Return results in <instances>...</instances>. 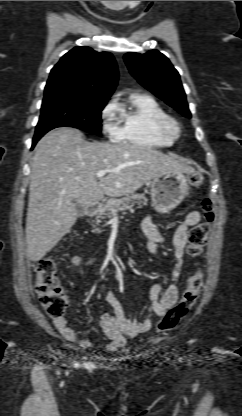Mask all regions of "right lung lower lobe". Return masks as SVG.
Segmentation results:
<instances>
[{
	"label": "right lung lower lobe",
	"instance_id": "98d812e1",
	"mask_svg": "<svg viewBox=\"0 0 242 416\" xmlns=\"http://www.w3.org/2000/svg\"><path fill=\"white\" fill-rule=\"evenodd\" d=\"M42 136H34L33 138V143H32V148L35 146V144L37 143V141L41 138Z\"/></svg>",
	"mask_w": 242,
	"mask_h": 416
}]
</instances>
